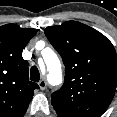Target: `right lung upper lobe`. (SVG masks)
Here are the masks:
<instances>
[{
  "mask_svg": "<svg viewBox=\"0 0 117 117\" xmlns=\"http://www.w3.org/2000/svg\"><path fill=\"white\" fill-rule=\"evenodd\" d=\"M37 33L15 24L0 27V117H23L39 86L29 81L22 51Z\"/></svg>",
  "mask_w": 117,
  "mask_h": 117,
  "instance_id": "1",
  "label": "right lung upper lobe"
}]
</instances>
